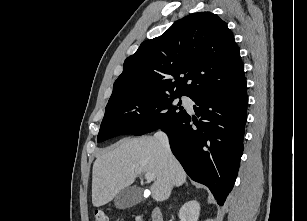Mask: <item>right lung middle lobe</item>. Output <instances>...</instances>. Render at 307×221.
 <instances>
[{
	"mask_svg": "<svg viewBox=\"0 0 307 221\" xmlns=\"http://www.w3.org/2000/svg\"><path fill=\"white\" fill-rule=\"evenodd\" d=\"M181 96L145 93L127 96L107 104L98 142L122 135H143L182 119L187 112L174 99Z\"/></svg>",
	"mask_w": 307,
	"mask_h": 221,
	"instance_id": "obj_1",
	"label": "right lung middle lobe"
}]
</instances>
